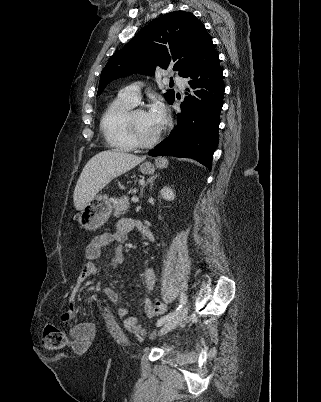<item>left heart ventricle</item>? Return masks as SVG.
I'll return each instance as SVG.
<instances>
[{
    "mask_svg": "<svg viewBox=\"0 0 321 402\" xmlns=\"http://www.w3.org/2000/svg\"><path fill=\"white\" fill-rule=\"evenodd\" d=\"M135 129L143 140L153 138L162 125L154 123L147 115V112H137L133 117Z\"/></svg>",
    "mask_w": 321,
    "mask_h": 402,
    "instance_id": "obj_1",
    "label": "left heart ventricle"
}]
</instances>
